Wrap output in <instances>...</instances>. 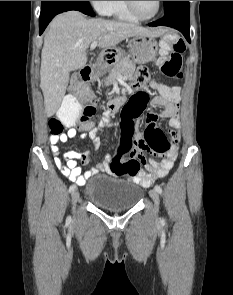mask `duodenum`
<instances>
[{"label": "duodenum", "mask_w": 233, "mask_h": 295, "mask_svg": "<svg viewBox=\"0 0 233 295\" xmlns=\"http://www.w3.org/2000/svg\"><path fill=\"white\" fill-rule=\"evenodd\" d=\"M81 78L85 82H89L94 78V70L92 67H84L81 70ZM126 99L122 96L116 97L109 102L108 109L112 112L119 110L124 104Z\"/></svg>", "instance_id": "duodenum-1"}]
</instances>
